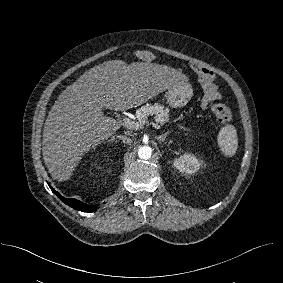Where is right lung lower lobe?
Masks as SVG:
<instances>
[{"instance_id":"1","label":"right lung lower lobe","mask_w":283,"mask_h":283,"mask_svg":"<svg viewBox=\"0 0 283 283\" xmlns=\"http://www.w3.org/2000/svg\"><path fill=\"white\" fill-rule=\"evenodd\" d=\"M50 188L61 201H63L65 204L69 205L70 207L74 208L75 210H80L83 212H94L97 209V205H87L76 199L64 198L57 191H55L51 186Z\"/></svg>"}]
</instances>
